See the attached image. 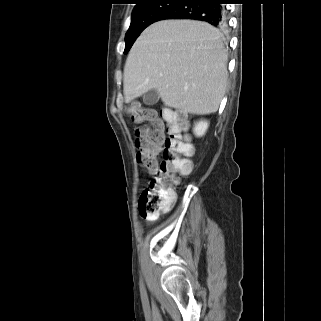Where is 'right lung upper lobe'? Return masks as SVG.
I'll return each mask as SVG.
<instances>
[{"mask_svg": "<svg viewBox=\"0 0 321 321\" xmlns=\"http://www.w3.org/2000/svg\"><path fill=\"white\" fill-rule=\"evenodd\" d=\"M136 1H137L136 6H138V5H141V4L145 3V2L152 1V0H136ZM178 1H180V0H178Z\"/></svg>", "mask_w": 321, "mask_h": 321, "instance_id": "right-lung-upper-lobe-1", "label": "right lung upper lobe"}]
</instances>
